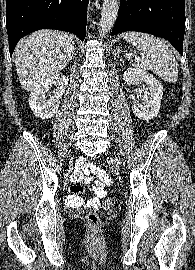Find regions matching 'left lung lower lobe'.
Masks as SVG:
<instances>
[{
    "label": "left lung lower lobe",
    "instance_id": "1",
    "mask_svg": "<svg viewBox=\"0 0 195 270\" xmlns=\"http://www.w3.org/2000/svg\"><path fill=\"white\" fill-rule=\"evenodd\" d=\"M125 31L144 32L165 38L182 55L184 0H121L111 35Z\"/></svg>",
    "mask_w": 195,
    "mask_h": 270
}]
</instances>
